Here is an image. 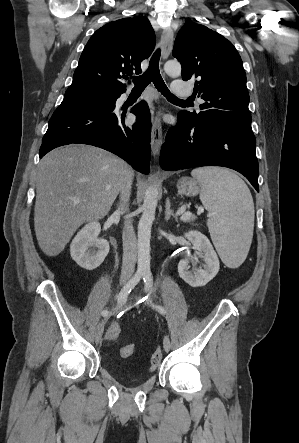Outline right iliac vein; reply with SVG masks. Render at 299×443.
<instances>
[{
    "label": "right iliac vein",
    "mask_w": 299,
    "mask_h": 443,
    "mask_svg": "<svg viewBox=\"0 0 299 443\" xmlns=\"http://www.w3.org/2000/svg\"><path fill=\"white\" fill-rule=\"evenodd\" d=\"M129 280V277L128 276H123L122 278H121V280H120V283L122 284V285H124V284H126V282ZM104 324H105V322L104 321H102V322H100L98 325H97V327H96V330H95V341L97 342V343H99L100 341H101V338H102V335H103V330H104Z\"/></svg>",
    "instance_id": "obj_1"
}]
</instances>
